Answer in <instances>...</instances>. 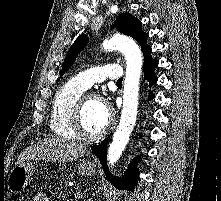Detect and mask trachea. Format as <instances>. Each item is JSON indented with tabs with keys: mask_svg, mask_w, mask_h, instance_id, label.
Here are the masks:
<instances>
[{
	"mask_svg": "<svg viewBox=\"0 0 221 201\" xmlns=\"http://www.w3.org/2000/svg\"><path fill=\"white\" fill-rule=\"evenodd\" d=\"M117 84H122V79H119V80L117 81Z\"/></svg>",
	"mask_w": 221,
	"mask_h": 201,
	"instance_id": "3493384b",
	"label": "trachea"
}]
</instances>
